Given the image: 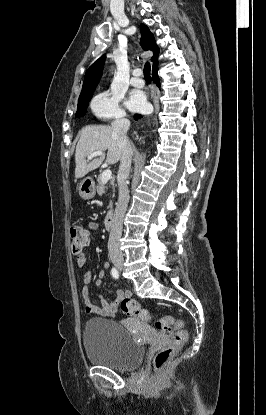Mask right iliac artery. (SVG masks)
<instances>
[{
  "label": "right iliac artery",
  "instance_id": "1",
  "mask_svg": "<svg viewBox=\"0 0 266 415\" xmlns=\"http://www.w3.org/2000/svg\"><path fill=\"white\" fill-rule=\"evenodd\" d=\"M111 274H112L113 278H115V279L119 278V272L114 267L111 269Z\"/></svg>",
  "mask_w": 266,
  "mask_h": 415
}]
</instances>
